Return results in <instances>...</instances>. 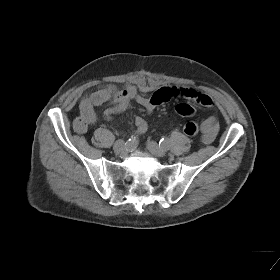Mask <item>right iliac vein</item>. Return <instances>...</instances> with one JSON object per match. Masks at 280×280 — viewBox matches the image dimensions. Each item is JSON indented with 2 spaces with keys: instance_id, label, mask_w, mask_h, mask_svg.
<instances>
[{
  "instance_id": "63e3f726",
  "label": "right iliac vein",
  "mask_w": 280,
  "mask_h": 280,
  "mask_svg": "<svg viewBox=\"0 0 280 280\" xmlns=\"http://www.w3.org/2000/svg\"><path fill=\"white\" fill-rule=\"evenodd\" d=\"M125 148V142L123 140H117L113 146V149L116 153H120Z\"/></svg>"
}]
</instances>
